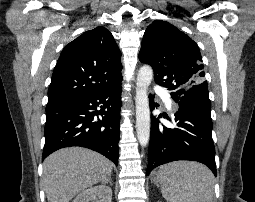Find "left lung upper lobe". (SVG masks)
Returning <instances> with one entry per match:
<instances>
[{
  "label": "left lung upper lobe",
  "mask_w": 255,
  "mask_h": 202,
  "mask_svg": "<svg viewBox=\"0 0 255 202\" xmlns=\"http://www.w3.org/2000/svg\"><path fill=\"white\" fill-rule=\"evenodd\" d=\"M139 60L154 70L176 103L211 111L198 45L168 22L155 20L144 34Z\"/></svg>",
  "instance_id": "left-lung-upper-lobe-1"
}]
</instances>
